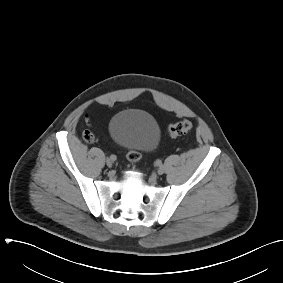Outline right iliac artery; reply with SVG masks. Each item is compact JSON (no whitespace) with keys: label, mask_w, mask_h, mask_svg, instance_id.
I'll use <instances>...</instances> for the list:
<instances>
[{"label":"right iliac artery","mask_w":283,"mask_h":283,"mask_svg":"<svg viewBox=\"0 0 283 283\" xmlns=\"http://www.w3.org/2000/svg\"><path fill=\"white\" fill-rule=\"evenodd\" d=\"M110 159H111L112 161H115V160H116V156H115V155H111V156H110Z\"/></svg>","instance_id":"obj_1"}]
</instances>
